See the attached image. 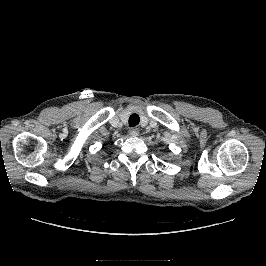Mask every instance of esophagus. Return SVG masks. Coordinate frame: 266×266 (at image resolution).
Masks as SVG:
<instances>
[{"label": "esophagus", "mask_w": 266, "mask_h": 266, "mask_svg": "<svg viewBox=\"0 0 266 266\" xmlns=\"http://www.w3.org/2000/svg\"><path fill=\"white\" fill-rule=\"evenodd\" d=\"M138 134H139V130L137 128H131L129 130V135L132 137H136V136H138Z\"/></svg>", "instance_id": "1"}]
</instances>
